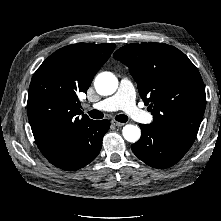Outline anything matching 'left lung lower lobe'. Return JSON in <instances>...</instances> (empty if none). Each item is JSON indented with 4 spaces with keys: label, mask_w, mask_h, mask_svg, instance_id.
<instances>
[{
    "label": "left lung lower lobe",
    "mask_w": 221,
    "mask_h": 221,
    "mask_svg": "<svg viewBox=\"0 0 221 221\" xmlns=\"http://www.w3.org/2000/svg\"><path fill=\"white\" fill-rule=\"evenodd\" d=\"M141 138L131 148L147 165L164 169L176 164L192 146L195 136L159 124H140Z\"/></svg>",
    "instance_id": "left-lung-lower-lobe-1"
}]
</instances>
